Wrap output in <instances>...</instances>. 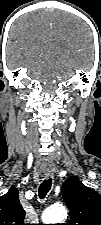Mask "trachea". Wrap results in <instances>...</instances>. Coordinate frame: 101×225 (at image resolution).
I'll return each mask as SVG.
<instances>
[{
  "instance_id": "obj_1",
  "label": "trachea",
  "mask_w": 101,
  "mask_h": 225,
  "mask_svg": "<svg viewBox=\"0 0 101 225\" xmlns=\"http://www.w3.org/2000/svg\"><path fill=\"white\" fill-rule=\"evenodd\" d=\"M51 186H52V179L49 178V179H45L39 189H38V192H39V198L40 199H44L45 196L47 195V193L49 192V190L51 189Z\"/></svg>"
}]
</instances>
